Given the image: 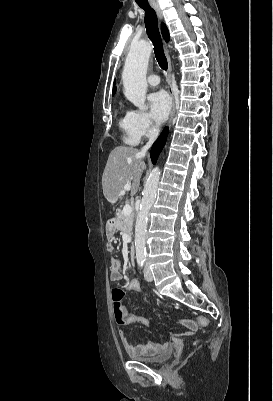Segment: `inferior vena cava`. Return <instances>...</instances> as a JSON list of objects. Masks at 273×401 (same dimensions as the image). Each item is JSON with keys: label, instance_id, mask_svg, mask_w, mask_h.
I'll use <instances>...</instances> for the list:
<instances>
[{"label": "inferior vena cava", "instance_id": "602c4592", "mask_svg": "<svg viewBox=\"0 0 273 401\" xmlns=\"http://www.w3.org/2000/svg\"><path fill=\"white\" fill-rule=\"evenodd\" d=\"M157 134H159V128H150L149 130V140L147 142V144H145V146H143V148H141L140 150V154H142V156H145V152H147L148 148H150L152 142H154Z\"/></svg>", "mask_w": 273, "mask_h": 401}]
</instances>
